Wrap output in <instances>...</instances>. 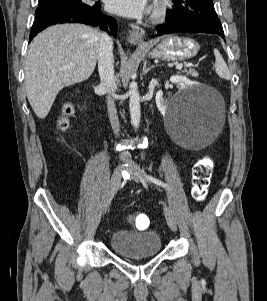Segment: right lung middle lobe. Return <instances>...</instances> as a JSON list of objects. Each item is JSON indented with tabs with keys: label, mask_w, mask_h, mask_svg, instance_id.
<instances>
[{
	"label": "right lung middle lobe",
	"mask_w": 267,
	"mask_h": 301,
	"mask_svg": "<svg viewBox=\"0 0 267 301\" xmlns=\"http://www.w3.org/2000/svg\"><path fill=\"white\" fill-rule=\"evenodd\" d=\"M91 5L85 4L82 0H39V6L35 16L45 13L54 12L62 9H80L87 8Z\"/></svg>",
	"instance_id": "right-lung-middle-lobe-1"
}]
</instances>
